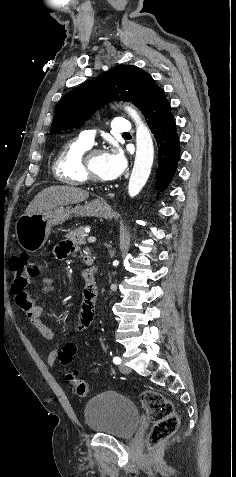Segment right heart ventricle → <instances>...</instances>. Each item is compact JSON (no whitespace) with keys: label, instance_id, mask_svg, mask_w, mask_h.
<instances>
[{"label":"right heart ventricle","instance_id":"1","mask_svg":"<svg viewBox=\"0 0 236 477\" xmlns=\"http://www.w3.org/2000/svg\"><path fill=\"white\" fill-rule=\"evenodd\" d=\"M90 147L79 140L68 142L54 161L53 171L56 178L66 184L80 185L86 182L82 159Z\"/></svg>","mask_w":236,"mask_h":477}]
</instances>
